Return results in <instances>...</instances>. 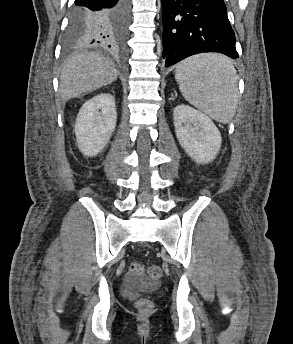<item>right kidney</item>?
<instances>
[{"mask_svg":"<svg viewBox=\"0 0 293 344\" xmlns=\"http://www.w3.org/2000/svg\"><path fill=\"white\" fill-rule=\"evenodd\" d=\"M115 98L101 93L86 101L81 107L75 124L77 145L87 156H95L110 141L116 127Z\"/></svg>","mask_w":293,"mask_h":344,"instance_id":"1","label":"right kidney"}]
</instances>
